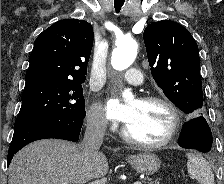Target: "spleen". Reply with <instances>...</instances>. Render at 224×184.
Here are the masks:
<instances>
[{
	"mask_svg": "<svg viewBox=\"0 0 224 184\" xmlns=\"http://www.w3.org/2000/svg\"><path fill=\"white\" fill-rule=\"evenodd\" d=\"M189 174L200 184H214V175L206 159L199 154L187 153Z\"/></svg>",
	"mask_w": 224,
	"mask_h": 184,
	"instance_id": "3e777b00",
	"label": "spleen"
}]
</instances>
